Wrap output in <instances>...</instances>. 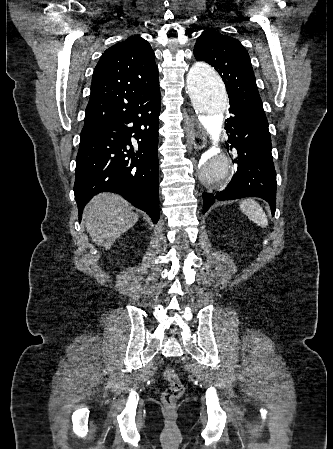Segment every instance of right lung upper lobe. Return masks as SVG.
I'll list each match as a JSON object with an SVG mask.
<instances>
[{
    "instance_id": "right-lung-upper-lobe-1",
    "label": "right lung upper lobe",
    "mask_w": 333,
    "mask_h": 449,
    "mask_svg": "<svg viewBox=\"0 0 333 449\" xmlns=\"http://www.w3.org/2000/svg\"><path fill=\"white\" fill-rule=\"evenodd\" d=\"M160 93L150 44L134 35L108 48L96 65L84 127L113 119Z\"/></svg>"
}]
</instances>
